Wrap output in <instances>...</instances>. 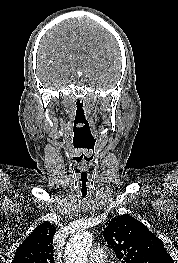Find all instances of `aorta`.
<instances>
[{"label":"aorta","mask_w":178,"mask_h":263,"mask_svg":"<svg viewBox=\"0 0 178 263\" xmlns=\"http://www.w3.org/2000/svg\"><path fill=\"white\" fill-rule=\"evenodd\" d=\"M92 242L93 237L87 231H80L74 234L66 245V263H87V256Z\"/></svg>","instance_id":"aorta-1"}]
</instances>
